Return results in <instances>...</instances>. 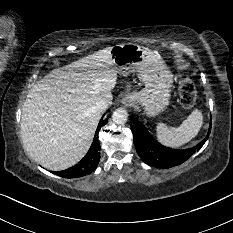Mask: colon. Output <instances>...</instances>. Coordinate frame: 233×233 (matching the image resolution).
<instances>
[{"instance_id": "5ec220e1", "label": "colon", "mask_w": 233, "mask_h": 233, "mask_svg": "<svg viewBox=\"0 0 233 233\" xmlns=\"http://www.w3.org/2000/svg\"><path fill=\"white\" fill-rule=\"evenodd\" d=\"M179 98L184 108H191L195 105L197 95L193 81L189 77H184L179 82Z\"/></svg>"}]
</instances>
